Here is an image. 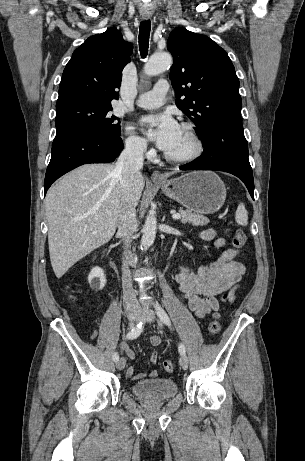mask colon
Listing matches in <instances>:
<instances>
[{
    "mask_svg": "<svg viewBox=\"0 0 305 461\" xmlns=\"http://www.w3.org/2000/svg\"><path fill=\"white\" fill-rule=\"evenodd\" d=\"M247 242L246 233L242 229H237L233 235V244L235 247L241 248ZM226 298V295H224ZM221 325H220V315L215 313L212 317V320L209 323L208 331L211 335H217L220 332ZM163 368L166 372L172 373L175 369V365L172 361L167 360L163 363Z\"/></svg>",
    "mask_w": 305,
    "mask_h": 461,
    "instance_id": "colon-1",
    "label": "colon"
}]
</instances>
